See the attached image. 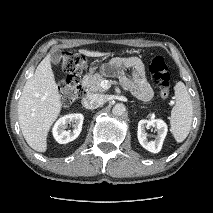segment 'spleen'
<instances>
[{"mask_svg": "<svg viewBox=\"0 0 213 213\" xmlns=\"http://www.w3.org/2000/svg\"><path fill=\"white\" fill-rule=\"evenodd\" d=\"M174 89L176 103L171 111V133L175 140L181 143L186 139L191 129L193 106L190 95L183 82L179 81Z\"/></svg>", "mask_w": 213, "mask_h": 213, "instance_id": "obj_1", "label": "spleen"}]
</instances>
